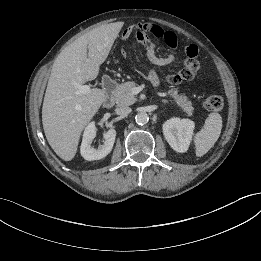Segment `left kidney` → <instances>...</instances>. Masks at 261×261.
I'll return each mask as SVG.
<instances>
[{
    "instance_id": "obj_1",
    "label": "left kidney",
    "mask_w": 261,
    "mask_h": 261,
    "mask_svg": "<svg viewBox=\"0 0 261 261\" xmlns=\"http://www.w3.org/2000/svg\"><path fill=\"white\" fill-rule=\"evenodd\" d=\"M195 124L190 119L171 118L163 124V134L169 145L176 152L188 150Z\"/></svg>"
}]
</instances>
